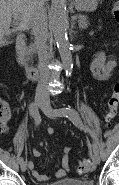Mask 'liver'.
Masks as SVG:
<instances>
[{
	"label": "liver",
	"instance_id": "obj_1",
	"mask_svg": "<svg viewBox=\"0 0 119 185\" xmlns=\"http://www.w3.org/2000/svg\"><path fill=\"white\" fill-rule=\"evenodd\" d=\"M45 0H0V47L7 44L5 35L31 28L35 11ZM20 15L19 24L10 30L12 16Z\"/></svg>",
	"mask_w": 119,
	"mask_h": 185
}]
</instances>
